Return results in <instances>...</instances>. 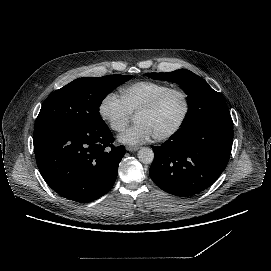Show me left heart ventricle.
<instances>
[{"label":"left heart ventricle","mask_w":271,"mask_h":271,"mask_svg":"<svg viewBox=\"0 0 271 271\" xmlns=\"http://www.w3.org/2000/svg\"><path fill=\"white\" fill-rule=\"evenodd\" d=\"M184 111V101L179 93H173L152 113L135 117L136 123H145L155 137L173 129Z\"/></svg>","instance_id":"obj_1"}]
</instances>
